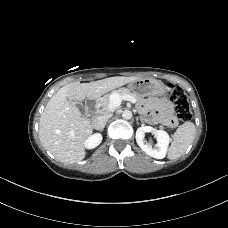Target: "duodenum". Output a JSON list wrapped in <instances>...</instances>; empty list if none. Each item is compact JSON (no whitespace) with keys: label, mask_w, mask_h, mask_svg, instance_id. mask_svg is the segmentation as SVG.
Instances as JSON below:
<instances>
[{"label":"duodenum","mask_w":228,"mask_h":228,"mask_svg":"<svg viewBox=\"0 0 228 228\" xmlns=\"http://www.w3.org/2000/svg\"><path fill=\"white\" fill-rule=\"evenodd\" d=\"M92 103H94V101H89V107H91Z\"/></svg>","instance_id":"1"}]
</instances>
